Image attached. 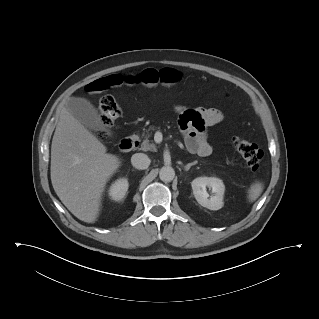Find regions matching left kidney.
I'll use <instances>...</instances> for the list:
<instances>
[{"label": "left kidney", "instance_id": "1", "mask_svg": "<svg viewBox=\"0 0 319 319\" xmlns=\"http://www.w3.org/2000/svg\"><path fill=\"white\" fill-rule=\"evenodd\" d=\"M193 194L197 202L210 210H219L223 207L224 183L216 177H198L191 182ZM207 188L212 190L209 198Z\"/></svg>", "mask_w": 319, "mask_h": 319}]
</instances>
